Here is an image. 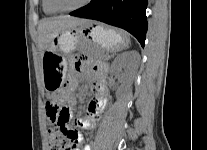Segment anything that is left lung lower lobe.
<instances>
[{
	"instance_id": "0a47b994",
	"label": "left lung lower lobe",
	"mask_w": 207,
	"mask_h": 150,
	"mask_svg": "<svg viewBox=\"0 0 207 150\" xmlns=\"http://www.w3.org/2000/svg\"><path fill=\"white\" fill-rule=\"evenodd\" d=\"M146 8L147 0H93L70 14L123 28L144 47L148 27Z\"/></svg>"
}]
</instances>
